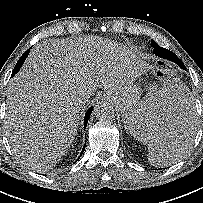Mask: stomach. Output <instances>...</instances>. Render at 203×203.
Wrapping results in <instances>:
<instances>
[{
  "label": "stomach",
  "mask_w": 203,
  "mask_h": 203,
  "mask_svg": "<svg viewBox=\"0 0 203 203\" xmlns=\"http://www.w3.org/2000/svg\"><path fill=\"white\" fill-rule=\"evenodd\" d=\"M141 88L139 86H127L121 91L115 92L110 100L122 111H125L124 118L127 129L129 130V124L131 123L130 116L134 113L141 103ZM154 124L157 125V117H154ZM130 131V130H129ZM136 131V129H135ZM141 133V131H137ZM145 140H149L144 137Z\"/></svg>",
  "instance_id": "stomach-1"
}]
</instances>
